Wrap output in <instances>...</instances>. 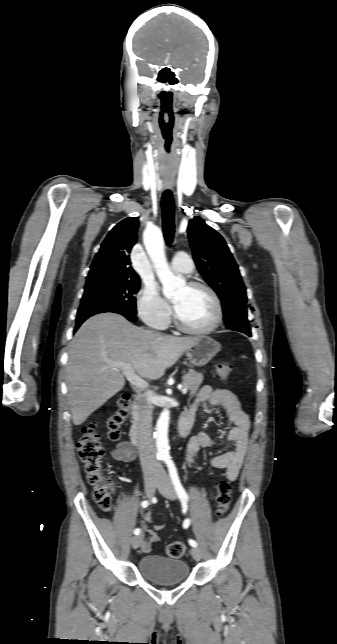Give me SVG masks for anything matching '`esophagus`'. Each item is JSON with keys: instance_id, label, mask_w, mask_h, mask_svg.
Masks as SVG:
<instances>
[{"instance_id": "esophagus-1", "label": "esophagus", "mask_w": 337, "mask_h": 644, "mask_svg": "<svg viewBox=\"0 0 337 644\" xmlns=\"http://www.w3.org/2000/svg\"><path fill=\"white\" fill-rule=\"evenodd\" d=\"M165 186L168 189H172L173 188V183L171 181H167V182H165Z\"/></svg>"}]
</instances>
